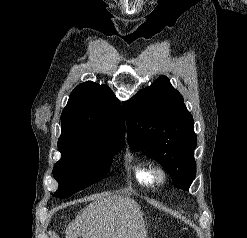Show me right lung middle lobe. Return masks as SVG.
<instances>
[{
  "mask_svg": "<svg viewBox=\"0 0 247 238\" xmlns=\"http://www.w3.org/2000/svg\"><path fill=\"white\" fill-rule=\"evenodd\" d=\"M124 143L96 144L77 139H59L61 159L53 168L58 190L52 195L65 198L101 180L111 166L113 155Z\"/></svg>",
  "mask_w": 247,
  "mask_h": 238,
  "instance_id": "right-lung-middle-lobe-1",
  "label": "right lung middle lobe"
}]
</instances>
